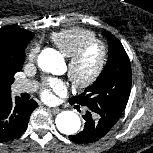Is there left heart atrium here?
I'll use <instances>...</instances> for the list:
<instances>
[{"label": "left heart atrium", "instance_id": "39dd6f15", "mask_svg": "<svg viewBox=\"0 0 153 153\" xmlns=\"http://www.w3.org/2000/svg\"><path fill=\"white\" fill-rule=\"evenodd\" d=\"M66 84L58 78H48L45 80L44 87L41 91L42 98L46 101L53 100V94H64L66 92Z\"/></svg>", "mask_w": 153, "mask_h": 153}]
</instances>
